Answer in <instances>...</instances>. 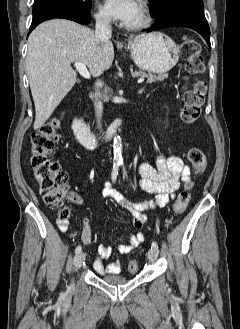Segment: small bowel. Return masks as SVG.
Segmentation results:
<instances>
[{
	"label": "small bowel",
	"instance_id": "obj_1",
	"mask_svg": "<svg viewBox=\"0 0 240 329\" xmlns=\"http://www.w3.org/2000/svg\"><path fill=\"white\" fill-rule=\"evenodd\" d=\"M137 174L139 176V187L155 195L154 203L134 202L116 192L110 184H107L103 191L105 197L111 198L131 214L133 226L139 230L130 235L128 244L117 247V250L122 254L132 252L145 240L144 233L140 231L146 222L144 212L152 209L154 206L163 207L173 200L175 192L179 189L181 183L189 179L190 170L180 157L175 155L166 156L160 152L156 156L155 165L142 163L137 167ZM57 226L61 232L68 230L67 221L59 220L57 221ZM81 239L85 245L92 243V233L88 218H84L83 220ZM111 255V247L106 245L98 246L93 262V268L97 274H117L121 271L122 262L120 260L108 265L103 264L102 259H107Z\"/></svg>",
	"mask_w": 240,
	"mask_h": 329
}]
</instances>
